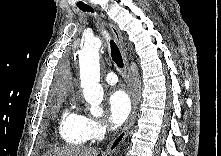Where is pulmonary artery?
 Listing matches in <instances>:
<instances>
[{"label": "pulmonary artery", "mask_w": 221, "mask_h": 156, "mask_svg": "<svg viewBox=\"0 0 221 156\" xmlns=\"http://www.w3.org/2000/svg\"><path fill=\"white\" fill-rule=\"evenodd\" d=\"M105 80L109 85H115L118 81V78L114 72H109L106 75Z\"/></svg>", "instance_id": "obj_1"}]
</instances>
